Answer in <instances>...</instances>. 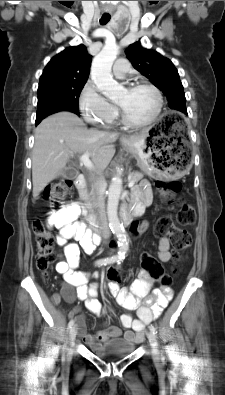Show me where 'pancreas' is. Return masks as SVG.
Returning a JSON list of instances; mask_svg holds the SVG:
<instances>
[{
  "label": "pancreas",
  "instance_id": "pancreas-1",
  "mask_svg": "<svg viewBox=\"0 0 225 395\" xmlns=\"http://www.w3.org/2000/svg\"><path fill=\"white\" fill-rule=\"evenodd\" d=\"M143 178V174L140 172H133L130 176V180H132L134 183H137L139 180ZM79 195L80 197L85 200L86 202V207L89 209L90 212H93L94 208V197H95V192L92 189L90 192L88 189H79Z\"/></svg>",
  "mask_w": 225,
  "mask_h": 395
}]
</instances>
